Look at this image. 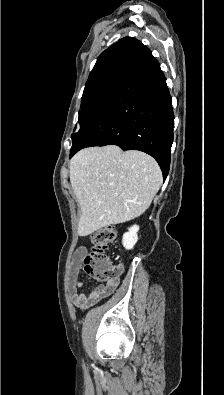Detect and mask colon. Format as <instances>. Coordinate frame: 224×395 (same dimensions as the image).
I'll use <instances>...</instances> for the list:
<instances>
[{
	"label": "colon",
	"instance_id": "5ec220e1",
	"mask_svg": "<svg viewBox=\"0 0 224 395\" xmlns=\"http://www.w3.org/2000/svg\"><path fill=\"white\" fill-rule=\"evenodd\" d=\"M115 237L116 229L114 227L101 228L90 236L92 248L84 257V270L89 277L97 282H113L120 274V268L113 265L105 254L106 249Z\"/></svg>",
	"mask_w": 224,
	"mask_h": 395
}]
</instances>
